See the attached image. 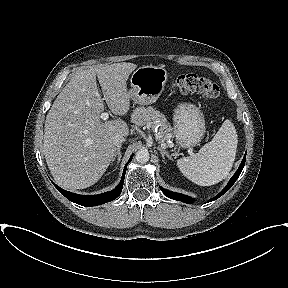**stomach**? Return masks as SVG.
I'll list each match as a JSON object with an SVG mask.
<instances>
[{"instance_id": "stomach-1", "label": "stomach", "mask_w": 288, "mask_h": 288, "mask_svg": "<svg viewBox=\"0 0 288 288\" xmlns=\"http://www.w3.org/2000/svg\"><path fill=\"white\" fill-rule=\"evenodd\" d=\"M167 78L168 73L163 66L137 68L130 78V98L140 105L156 102L164 90ZM173 121V134L180 147H194L201 141L205 133V119L196 105L186 102L178 104L174 109Z\"/></svg>"}]
</instances>
